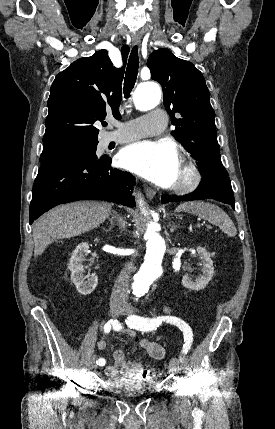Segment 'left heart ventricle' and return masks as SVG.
<instances>
[{
    "label": "left heart ventricle",
    "instance_id": "b2bd125f",
    "mask_svg": "<svg viewBox=\"0 0 275 429\" xmlns=\"http://www.w3.org/2000/svg\"><path fill=\"white\" fill-rule=\"evenodd\" d=\"M182 175H183V171H182L181 166L179 165L178 175H177V180H176V182H177V181H179V180L182 178Z\"/></svg>",
    "mask_w": 275,
    "mask_h": 429
}]
</instances>
